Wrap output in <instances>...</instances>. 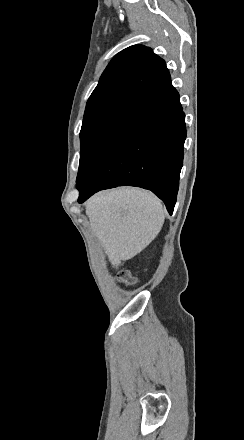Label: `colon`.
Instances as JSON below:
<instances>
[{
  "label": "colon",
  "instance_id": "colon-1",
  "mask_svg": "<svg viewBox=\"0 0 244 440\" xmlns=\"http://www.w3.org/2000/svg\"><path fill=\"white\" fill-rule=\"evenodd\" d=\"M116 281L118 284L127 285V286H134L137 282L134 276L126 272L120 274L117 277Z\"/></svg>",
  "mask_w": 244,
  "mask_h": 440
}]
</instances>
